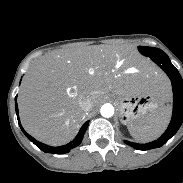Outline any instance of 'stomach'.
<instances>
[{
	"label": "stomach",
	"mask_w": 183,
	"mask_h": 183,
	"mask_svg": "<svg viewBox=\"0 0 183 183\" xmlns=\"http://www.w3.org/2000/svg\"><path fill=\"white\" fill-rule=\"evenodd\" d=\"M119 110V117L124 124H136L140 119L154 112L162 103L152 93L131 95H113Z\"/></svg>",
	"instance_id": "obj_1"
}]
</instances>
